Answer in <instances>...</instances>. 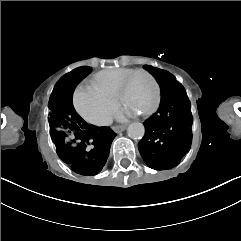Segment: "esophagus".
Returning a JSON list of instances; mask_svg holds the SVG:
<instances>
[{
  "label": "esophagus",
  "instance_id": "obj_1",
  "mask_svg": "<svg viewBox=\"0 0 241 241\" xmlns=\"http://www.w3.org/2000/svg\"><path fill=\"white\" fill-rule=\"evenodd\" d=\"M125 129H126L125 126H115V127H113V130L116 133H120V132L124 131Z\"/></svg>",
  "mask_w": 241,
  "mask_h": 241
}]
</instances>
